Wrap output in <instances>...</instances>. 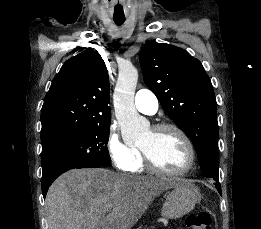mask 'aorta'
I'll return each mask as SVG.
<instances>
[{"label":"aorta","instance_id":"1","mask_svg":"<svg viewBox=\"0 0 261 229\" xmlns=\"http://www.w3.org/2000/svg\"><path fill=\"white\" fill-rule=\"evenodd\" d=\"M138 80V70L132 64L121 66L116 82L113 104L115 117L122 133H129L133 141H143L151 135L150 123L145 117H140L135 108L134 94Z\"/></svg>","mask_w":261,"mask_h":229}]
</instances>
